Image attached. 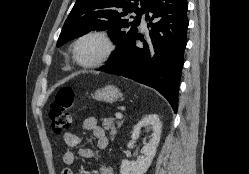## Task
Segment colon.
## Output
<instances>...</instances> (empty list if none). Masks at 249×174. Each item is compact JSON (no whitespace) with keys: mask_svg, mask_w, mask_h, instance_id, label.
<instances>
[{"mask_svg":"<svg viewBox=\"0 0 249 174\" xmlns=\"http://www.w3.org/2000/svg\"><path fill=\"white\" fill-rule=\"evenodd\" d=\"M74 98L75 93L72 88L64 87L58 91L55 103L49 111L50 126L55 133H61L70 127V110L73 107Z\"/></svg>","mask_w":249,"mask_h":174,"instance_id":"1","label":"colon"}]
</instances>
